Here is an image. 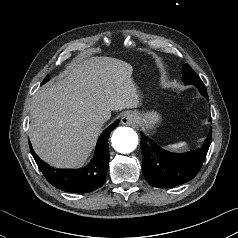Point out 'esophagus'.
Returning a JSON list of instances; mask_svg holds the SVG:
<instances>
[{
    "instance_id": "esophagus-1",
    "label": "esophagus",
    "mask_w": 238,
    "mask_h": 238,
    "mask_svg": "<svg viewBox=\"0 0 238 238\" xmlns=\"http://www.w3.org/2000/svg\"><path fill=\"white\" fill-rule=\"evenodd\" d=\"M136 115L132 112L125 113L121 118V124L126 126H133L136 123Z\"/></svg>"
}]
</instances>
